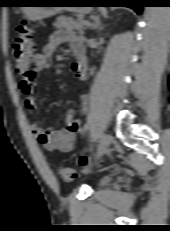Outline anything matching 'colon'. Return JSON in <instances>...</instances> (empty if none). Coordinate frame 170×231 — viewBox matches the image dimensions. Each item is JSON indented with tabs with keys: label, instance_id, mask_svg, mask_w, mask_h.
Masks as SVG:
<instances>
[{
	"label": "colon",
	"instance_id": "colon-1",
	"mask_svg": "<svg viewBox=\"0 0 170 231\" xmlns=\"http://www.w3.org/2000/svg\"><path fill=\"white\" fill-rule=\"evenodd\" d=\"M17 37L13 44V60L15 70L22 81H30L35 78L33 64V33L31 27L25 20L17 25ZM87 158L83 157L81 163L85 164ZM57 175L64 181H71L75 177L74 171L65 166L56 169Z\"/></svg>",
	"mask_w": 170,
	"mask_h": 231
}]
</instances>
